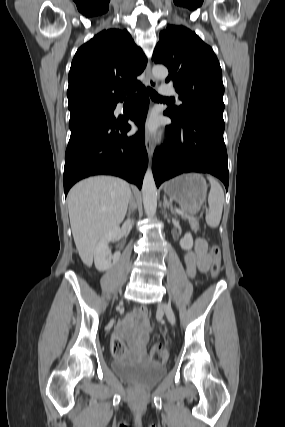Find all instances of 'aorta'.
<instances>
[{
	"label": "aorta",
	"mask_w": 285,
	"mask_h": 427,
	"mask_svg": "<svg viewBox=\"0 0 285 427\" xmlns=\"http://www.w3.org/2000/svg\"><path fill=\"white\" fill-rule=\"evenodd\" d=\"M152 74L156 79H165L168 76V69L163 65H155ZM142 197L146 215L154 216L157 209V189L150 166L144 175Z\"/></svg>",
	"instance_id": "obj_1"
}]
</instances>
